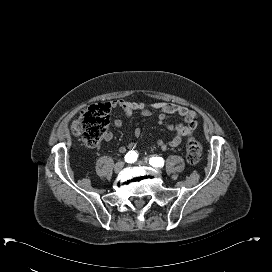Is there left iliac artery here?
I'll use <instances>...</instances> for the list:
<instances>
[{"mask_svg": "<svg viewBox=\"0 0 272 272\" xmlns=\"http://www.w3.org/2000/svg\"><path fill=\"white\" fill-rule=\"evenodd\" d=\"M149 164L153 167H163L164 161L161 157L154 156L149 159Z\"/></svg>", "mask_w": 272, "mask_h": 272, "instance_id": "obj_1", "label": "left iliac artery"}]
</instances>
